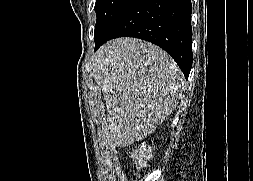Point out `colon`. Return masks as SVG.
<instances>
[{"mask_svg": "<svg viewBox=\"0 0 253 181\" xmlns=\"http://www.w3.org/2000/svg\"><path fill=\"white\" fill-rule=\"evenodd\" d=\"M136 155L137 157L142 160L144 158L149 157L150 155V150L149 148L145 147V146H141L137 151H136Z\"/></svg>", "mask_w": 253, "mask_h": 181, "instance_id": "5ec220e1", "label": "colon"}]
</instances>
